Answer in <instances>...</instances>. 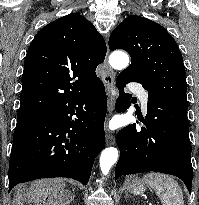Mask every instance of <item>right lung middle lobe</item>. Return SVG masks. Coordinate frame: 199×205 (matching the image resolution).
Wrapping results in <instances>:
<instances>
[{"instance_id": "1", "label": "right lung middle lobe", "mask_w": 199, "mask_h": 205, "mask_svg": "<svg viewBox=\"0 0 199 205\" xmlns=\"http://www.w3.org/2000/svg\"><path fill=\"white\" fill-rule=\"evenodd\" d=\"M37 118L38 117L17 119L16 129H19V128H22V127L26 126L27 124L33 122Z\"/></svg>"}]
</instances>
